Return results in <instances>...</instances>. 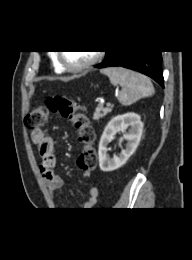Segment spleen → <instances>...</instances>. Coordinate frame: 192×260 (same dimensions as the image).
<instances>
[{
	"label": "spleen",
	"instance_id": "obj_1",
	"mask_svg": "<svg viewBox=\"0 0 192 260\" xmlns=\"http://www.w3.org/2000/svg\"><path fill=\"white\" fill-rule=\"evenodd\" d=\"M101 72L109 77L113 85L122 87L118 95V101L122 105H131L155 92L150 79L140 73L122 67L105 68Z\"/></svg>",
	"mask_w": 192,
	"mask_h": 260
}]
</instances>
